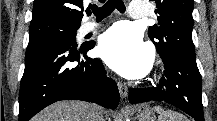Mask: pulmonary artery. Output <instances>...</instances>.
<instances>
[{
	"label": "pulmonary artery",
	"mask_w": 217,
	"mask_h": 121,
	"mask_svg": "<svg viewBox=\"0 0 217 121\" xmlns=\"http://www.w3.org/2000/svg\"><path fill=\"white\" fill-rule=\"evenodd\" d=\"M148 6L142 2H131L129 6V16L131 18H143L147 16ZM100 26L99 23L96 22H86L80 28L81 34L89 33Z\"/></svg>",
	"instance_id": "e3ab8cb5"
}]
</instances>
